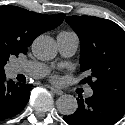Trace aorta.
I'll list each match as a JSON object with an SVG mask.
<instances>
[{
	"label": "aorta",
	"instance_id": "762f6f07",
	"mask_svg": "<svg viewBox=\"0 0 125 125\" xmlns=\"http://www.w3.org/2000/svg\"><path fill=\"white\" fill-rule=\"evenodd\" d=\"M32 52L39 60H51L56 56L55 41L49 36H39L32 44ZM58 111L63 115H72L77 110V100L72 95H62L56 101Z\"/></svg>",
	"mask_w": 125,
	"mask_h": 125
}]
</instances>
